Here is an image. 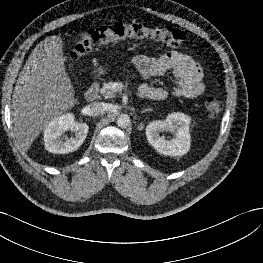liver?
Returning a JSON list of instances; mask_svg holds the SVG:
<instances>
[{
	"label": "liver",
	"mask_w": 263,
	"mask_h": 263,
	"mask_svg": "<svg viewBox=\"0 0 263 263\" xmlns=\"http://www.w3.org/2000/svg\"><path fill=\"white\" fill-rule=\"evenodd\" d=\"M75 102L63 60V41L60 36H49L30 54L14 89L12 120L20 148L30 149L49 122Z\"/></svg>",
	"instance_id": "1"
}]
</instances>
